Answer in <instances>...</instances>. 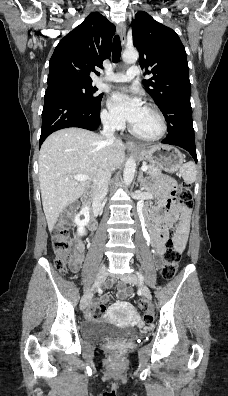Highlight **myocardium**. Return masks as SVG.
Wrapping results in <instances>:
<instances>
[{
	"instance_id": "f54148a6",
	"label": "myocardium",
	"mask_w": 228,
	"mask_h": 396,
	"mask_svg": "<svg viewBox=\"0 0 228 396\" xmlns=\"http://www.w3.org/2000/svg\"><path fill=\"white\" fill-rule=\"evenodd\" d=\"M144 108L150 110L157 117V119L160 123L159 132L154 136H144V135H141L140 133H138L133 126L130 128V132L134 137H136L142 141H147V142L158 141V140L162 139L167 132V123H166L165 117L163 116L161 111L156 106H154L152 104H146L144 106Z\"/></svg>"
}]
</instances>
